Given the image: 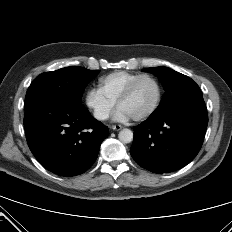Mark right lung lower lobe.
<instances>
[{
  "label": "right lung lower lobe",
  "instance_id": "1",
  "mask_svg": "<svg viewBox=\"0 0 232 232\" xmlns=\"http://www.w3.org/2000/svg\"><path fill=\"white\" fill-rule=\"evenodd\" d=\"M25 110L29 148L46 169L70 177L92 166L108 127L81 103L40 101Z\"/></svg>",
  "mask_w": 232,
  "mask_h": 232
}]
</instances>
